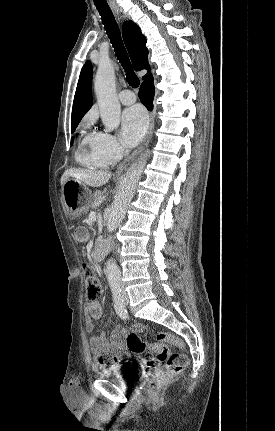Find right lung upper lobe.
<instances>
[{"label": "right lung upper lobe", "mask_w": 275, "mask_h": 431, "mask_svg": "<svg viewBox=\"0 0 275 431\" xmlns=\"http://www.w3.org/2000/svg\"><path fill=\"white\" fill-rule=\"evenodd\" d=\"M123 39L129 52L133 67L136 71L147 69L148 72L143 79L151 75L148 65V49L146 38L141 33L137 24L133 21H125L123 24ZM92 65L89 61L83 66L73 101L71 128L78 126L82 117L92 106Z\"/></svg>", "instance_id": "cb5924a9"}]
</instances>
